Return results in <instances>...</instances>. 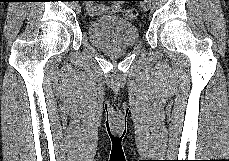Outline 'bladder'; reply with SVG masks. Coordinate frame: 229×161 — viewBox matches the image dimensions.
<instances>
[{
	"label": "bladder",
	"instance_id": "bladder-1",
	"mask_svg": "<svg viewBox=\"0 0 229 161\" xmlns=\"http://www.w3.org/2000/svg\"><path fill=\"white\" fill-rule=\"evenodd\" d=\"M91 43L102 49H119L134 46L139 39L137 26L118 16H103L87 26Z\"/></svg>",
	"mask_w": 229,
	"mask_h": 161
}]
</instances>
